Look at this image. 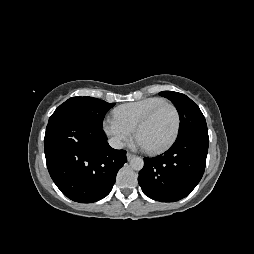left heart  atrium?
Instances as JSON below:
<instances>
[{
	"instance_id": "left-heart-atrium-1",
	"label": "left heart atrium",
	"mask_w": 254,
	"mask_h": 254,
	"mask_svg": "<svg viewBox=\"0 0 254 254\" xmlns=\"http://www.w3.org/2000/svg\"><path fill=\"white\" fill-rule=\"evenodd\" d=\"M136 144L142 148H146L144 142L142 141V139H140L139 137H137L136 139Z\"/></svg>"
}]
</instances>
